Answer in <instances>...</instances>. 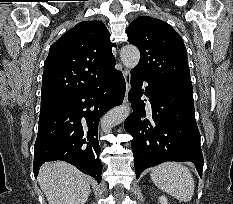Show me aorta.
Returning <instances> with one entry per match:
<instances>
[{"instance_id":"aorta-1","label":"aorta","mask_w":233,"mask_h":204,"mask_svg":"<svg viewBox=\"0 0 233 204\" xmlns=\"http://www.w3.org/2000/svg\"><path fill=\"white\" fill-rule=\"evenodd\" d=\"M123 65L129 69L135 68L140 59L139 50L133 45L124 46L120 53ZM131 108L125 105L110 110L102 119L101 127L109 133L114 126L124 121L130 114Z\"/></svg>"}]
</instances>
